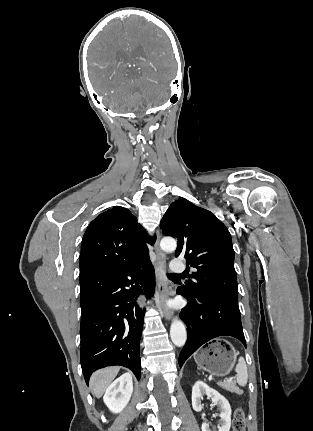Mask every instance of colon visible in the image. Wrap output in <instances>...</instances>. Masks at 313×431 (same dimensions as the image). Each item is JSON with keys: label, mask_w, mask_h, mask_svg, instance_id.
Returning <instances> with one entry per match:
<instances>
[{"label": "colon", "mask_w": 313, "mask_h": 431, "mask_svg": "<svg viewBox=\"0 0 313 431\" xmlns=\"http://www.w3.org/2000/svg\"><path fill=\"white\" fill-rule=\"evenodd\" d=\"M245 415L242 409H237L233 418V431H245Z\"/></svg>", "instance_id": "5ec220e1"}]
</instances>
